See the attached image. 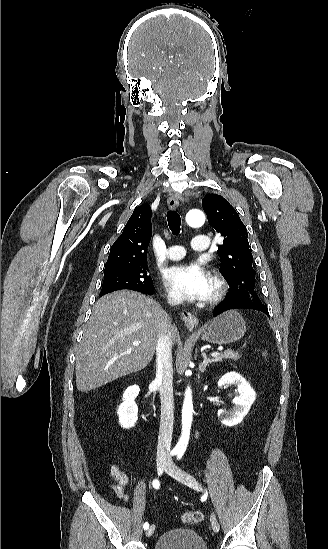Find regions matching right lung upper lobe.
I'll return each instance as SVG.
<instances>
[{
    "instance_id": "obj_1",
    "label": "right lung upper lobe",
    "mask_w": 328,
    "mask_h": 549,
    "mask_svg": "<svg viewBox=\"0 0 328 549\" xmlns=\"http://www.w3.org/2000/svg\"><path fill=\"white\" fill-rule=\"evenodd\" d=\"M149 205L135 208L121 236L111 247L105 271L147 263V247L152 235Z\"/></svg>"
}]
</instances>
